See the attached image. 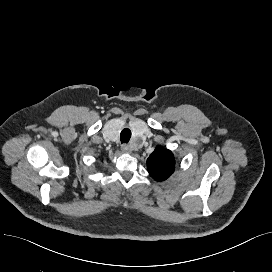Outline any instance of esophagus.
Listing matches in <instances>:
<instances>
[{
	"mask_svg": "<svg viewBox=\"0 0 272 272\" xmlns=\"http://www.w3.org/2000/svg\"><path fill=\"white\" fill-rule=\"evenodd\" d=\"M121 150L124 152V153H130L131 149H130V146L128 144H123L121 146Z\"/></svg>",
	"mask_w": 272,
	"mask_h": 272,
	"instance_id": "obj_1",
	"label": "esophagus"
}]
</instances>
